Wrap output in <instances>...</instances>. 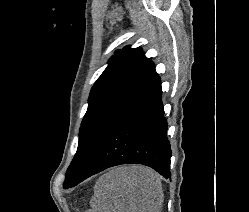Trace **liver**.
<instances>
[{
    "instance_id": "1",
    "label": "liver",
    "mask_w": 249,
    "mask_h": 212,
    "mask_svg": "<svg viewBox=\"0 0 249 212\" xmlns=\"http://www.w3.org/2000/svg\"><path fill=\"white\" fill-rule=\"evenodd\" d=\"M163 198L157 172L138 164L119 166L96 182L90 212H160Z\"/></svg>"
}]
</instances>
